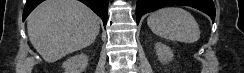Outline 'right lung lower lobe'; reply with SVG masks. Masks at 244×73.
Wrapping results in <instances>:
<instances>
[{"instance_id":"1","label":"right lung lower lobe","mask_w":244,"mask_h":73,"mask_svg":"<svg viewBox=\"0 0 244 73\" xmlns=\"http://www.w3.org/2000/svg\"><path fill=\"white\" fill-rule=\"evenodd\" d=\"M44 0H27L23 11V20L30 14V12ZM90 7L102 20L104 27L107 23V9L108 0H79Z\"/></svg>"}]
</instances>
